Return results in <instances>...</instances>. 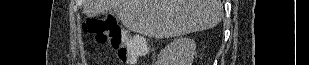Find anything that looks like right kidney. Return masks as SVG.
<instances>
[{
	"label": "right kidney",
	"mask_w": 309,
	"mask_h": 65,
	"mask_svg": "<svg viewBox=\"0 0 309 65\" xmlns=\"http://www.w3.org/2000/svg\"><path fill=\"white\" fill-rule=\"evenodd\" d=\"M196 43L188 37L174 39L158 56V65H192Z\"/></svg>",
	"instance_id": "obj_1"
}]
</instances>
